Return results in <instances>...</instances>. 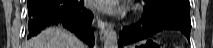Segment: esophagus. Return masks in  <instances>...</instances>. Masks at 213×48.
Segmentation results:
<instances>
[{
    "mask_svg": "<svg viewBox=\"0 0 213 48\" xmlns=\"http://www.w3.org/2000/svg\"><path fill=\"white\" fill-rule=\"evenodd\" d=\"M98 27H99V31H100V37H101V39H104L106 37L108 31L110 30V25L107 22L99 19Z\"/></svg>",
    "mask_w": 213,
    "mask_h": 48,
    "instance_id": "obj_1",
    "label": "esophagus"
}]
</instances>
